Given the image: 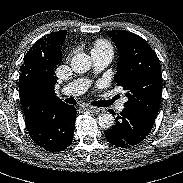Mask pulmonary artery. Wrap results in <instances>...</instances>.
Instances as JSON below:
<instances>
[{
	"label": "pulmonary artery",
	"instance_id": "pulmonary-artery-1",
	"mask_svg": "<svg viewBox=\"0 0 183 183\" xmlns=\"http://www.w3.org/2000/svg\"><path fill=\"white\" fill-rule=\"evenodd\" d=\"M94 68L96 71L104 69L112 60V55L106 53H92ZM89 87V81L86 79H78L67 84L61 91L65 95L78 96L84 93ZM125 99L119 102L117 109L122 111L124 109Z\"/></svg>",
	"mask_w": 183,
	"mask_h": 183
}]
</instances>
